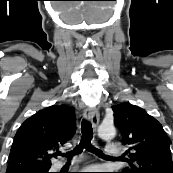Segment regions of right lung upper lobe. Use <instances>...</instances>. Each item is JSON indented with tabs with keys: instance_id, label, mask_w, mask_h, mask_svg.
<instances>
[{
	"instance_id": "right-lung-upper-lobe-1",
	"label": "right lung upper lobe",
	"mask_w": 173,
	"mask_h": 173,
	"mask_svg": "<svg viewBox=\"0 0 173 173\" xmlns=\"http://www.w3.org/2000/svg\"><path fill=\"white\" fill-rule=\"evenodd\" d=\"M74 109L53 105L23 122L11 147L6 173L51 167L52 151H58L75 134Z\"/></svg>"
}]
</instances>
